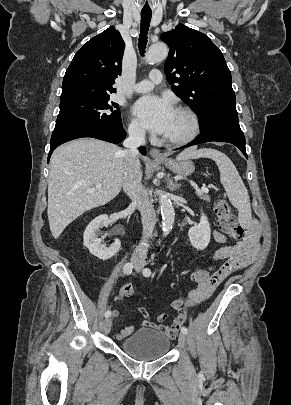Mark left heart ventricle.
Listing matches in <instances>:
<instances>
[{"label":"left heart ventricle","mask_w":291,"mask_h":405,"mask_svg":"<svg viewBox=\"0 0 291 405\" xmlns=\"http://www.w3.org/2000/svg\"><path fill=\"white\" fill-rule=\"evenodd\" d=\"M190 130V122L187 116L177 110L174 111L169 129L164 134L167 138H180L185 136Z\"/></svg>","instance_id":"b2bd125f"}]
</instances>
